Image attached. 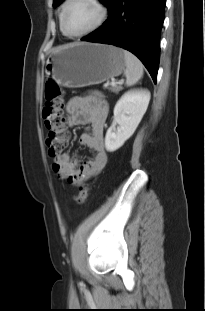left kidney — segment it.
<instances>
[{
	"label": "left kidney",
	"mask_w": 205,
	"mask_h": 311,
	"mask_svg": "<svg viewBox=\"0 0 205 311\" xmlns=\"http://www.w3.org/2000/svg\"><path fill=\"white\" fill-rule=\"evenodd\" d=\"M150 97L147 90H133L119 99L114 107L113 123L105 136L107 151H116L133 135L147 110Z\"/></svg>",
	"instance_id": "1"
}]
</instances>
